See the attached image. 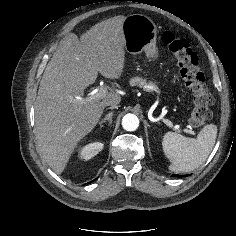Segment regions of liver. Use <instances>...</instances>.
Segmentation results:
<instances>
[{
  "instance_id": "1",
  "label": "liver",
  "mask_w": 236,
  "mask_h": 236,
  "mask_svg": "<svg viewBox=\"0 0 236 236\" xmlns=\"http://www.w3.org/2000/svg\"><path fill=\"white\" fill-rule=\"evenodd\" d=\"M125 18L120 15L97 23L81 40L67 34L45 68L35 104L36 134L44 159L57 174L64 171L79 141L97 125L104 108L121 101L115 92L94 102L78 98L98 72L108 79L121 77Z\"/></svg>"
}]
</instances>
